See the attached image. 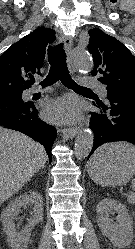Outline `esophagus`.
<instances>
[{"label": "esophagus", "instance_id": "esophagus-1", "mask_svg": "<svg viewBox=\"0 0 135 249\" xmlns=\"http://www.w3.org/2000/svg\"><path fill=\"white\" fill-rule=\"evenodd\" d=\"M59 40L64 43V48H65V51H66L67 65H68L69 69L72 72H74L75 67H74V65L72 63V60L70 58V53H71L72 46H73V39L70 36H65L63 34H60ZM78 132H79V128H77V127L65 128V129L62 130V133L66 137L71 138V139L74 138L77 135Z\"/></svg>", "mask_w": 135, "mask_h": 249}]
</instances>
